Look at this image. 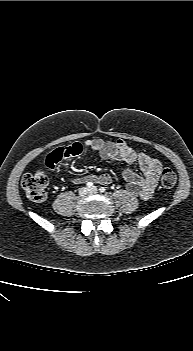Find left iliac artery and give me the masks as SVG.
<instances>
[{"mask_svg":"<svg viewBox=\"0 0 193 351\" xmlns=\"http://www.w3.org/2000/svg\"><path fill=\"white\" fill-rule=\"evenodd\" d=\"M99 190L101 193H104L106 191L105 187H100Z\"/></svg>","mask_w":193,"mask_h":351,"instance_id":"1","label":"left iliac artery"}]
</instances>
